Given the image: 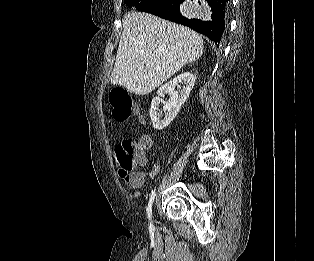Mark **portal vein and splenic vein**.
Masks as SVG:
<instances>
[{"mask_svg": "<svg viewBox=\"0 0 314 261\" xmlns=\"http://www.w3.org/2000/svg\"><path fill=\"white\" fill-rule=\"evenodd\" d=\"M156 70H161V68H160V67H157Z\"/></svg>", "mask_w": 314, "mask_h": 261, "instance_id": "portal-vein-and-splenic-vein-1", "label": "portal vein and splenic vein"}]
</instances>
